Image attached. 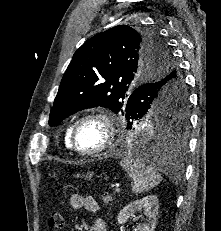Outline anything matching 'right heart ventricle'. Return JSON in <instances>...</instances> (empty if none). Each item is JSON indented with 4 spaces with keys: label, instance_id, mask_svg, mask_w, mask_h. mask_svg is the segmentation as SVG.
I'll use <instances>...</instances> for the list:
<instances>
[{
    "label": "right heart ventricle",
    "instance_id": "right-heart-ventricle-1",
    "mask_svg": "<svg viewBox=\"0 0 221 231\" xmlns=\"http://www.w3.org/2000/svg\"><path fill=\"white\" fill-rule=\"evenodd\" d=\"M71 129H72V124H68L65 128L64 132V144L67 149H71V144H70V134H71Z\"/></svg>",
    "mask_w": 221,
    "mask_h": 231
}]
</instances>
